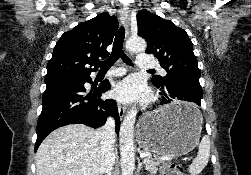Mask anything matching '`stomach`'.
I'll use <instances>...</instances> for the list:
<instances>
[{
  "label": "stomach",
  "mask_w": 251,
  "mask_h": 175,
  "mask_svg": "<svg viewBox=\"0 0 251 175\" xmlns=\"http://www.w3.org/2000/svg\"><path fill=\"white\" fill-rule=\"evenodd\" d=\"M202 117L195 113L191 100L173 103L144 115L138 123L137 141L150 154L184 155L197 145Z\"/></svg>",
  "instance_id": "obj_1"
}]
</instances>
